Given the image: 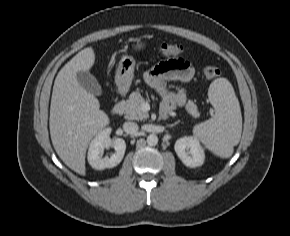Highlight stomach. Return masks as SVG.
<instances>
[{
  "instance_id": "0dacf381",
  "label": "stomach",
  "mask_w": 290,
  "mask_h": 236,
  "mask_svg": "<svg viewBox=\"0 0 290 236\" xmlns=\"http://www.w3.org/2000/svg\"><path fill=\"white\" fill-rule=\"evenodd\" d=\"M146 47L144 42L138 41L136 48L141 50ZM136 61L132 56L125 55L119 61L115 74V83L120 90H126L130 87Z\"/></svg>"
}]
</instances>
